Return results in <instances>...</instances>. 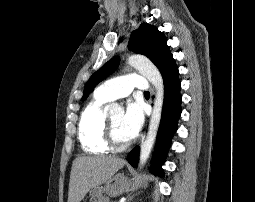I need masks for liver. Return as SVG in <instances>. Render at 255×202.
Listing matches in <instances>:
<instances>
[{
    "instance_id": "obj_1",
    "label": "liver",
    "mask_w": 255,
    "mask_h": 202,
    "mask_svg": "<svg viewBox=\"0 0 255 202\" xmlns=\"http://www.w3.org/2000/svg\"><path fill=\"white\" fill-rule=\"evenodd\" d=\"M125 164L114 156L77 157L72 163L68 202H80L90 189L105 183Z\"/></svg>"
}]
</instances>
